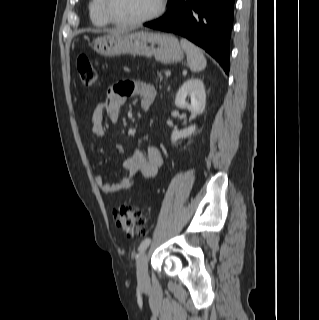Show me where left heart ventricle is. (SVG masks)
<instances>
[{
	"mask_svg": "<svg viewBox=\"0 0 319 320\" xmlns=\"http://www.w3.org/2000/svg\"><path fill=\"white\" fill-rule=\"evenodd\" d=\"M113 15L119 19H135L154 12L158 0H109Z\"/></svg>",
	"mask_w": 319,
	"mask_h": 320,
	"instance_id": "1",
	"label": "left heart ventricle"
}]
</instances>
